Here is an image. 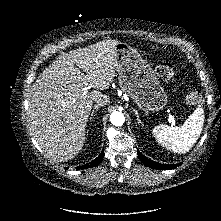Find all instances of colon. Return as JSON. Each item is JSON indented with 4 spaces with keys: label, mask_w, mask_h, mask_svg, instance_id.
<instances>
[{
    "label": "colon",
    "mask_w": 221,
    "mask_h": 221,
    "mask_svg": "<svg viewBox=\"0 0 221 221\" xmlns=\"http://www.w3.org/2000/svg\"><path fill=\"white\" fill-rule=\"evenodd\" d=\"M156 72L160 78L168 82H174L179 79V73L176 69V66L170 61L158 64V66L156 67ZM186 100L189 104L192 105L201 103V91L196 87L191 88L187 93Z\"/></svg>",
    "instance_id": "1"
}]
</instances>
